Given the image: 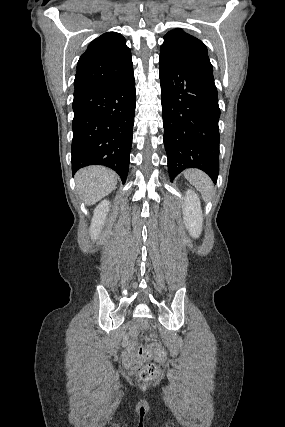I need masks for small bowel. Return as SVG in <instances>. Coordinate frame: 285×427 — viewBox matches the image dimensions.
I'll use <instances>...</instances> for the list:
<instances>
[{
	"mask_svg": "<svg viewBox=\"0 0 285 427\" xmlns=\"http://www.w3.org/2000/svg\"><path fill=\"white\" fill-rule=\"evenodd\" d=\"M131 350V347L127 348V352L123 354L122 361L124 365L129 369H135L136 368V361L134 358L129 354V351Z\"/></svg>",
	"mask_w": 285,
	"mask_h": 427,
	"instance_id": "small-bowel-1",
	"label": "small bowel"
}]
</instances>
